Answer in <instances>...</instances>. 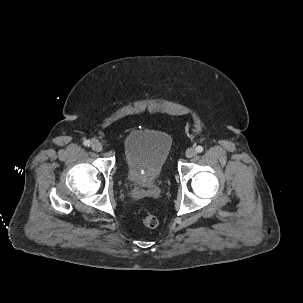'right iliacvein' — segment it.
Returning <instances> with one entry per match:
<instances>
[{
  "instance_id": "1",
  "label": "right iliac vein",
  "mask_w": 303,
  "mask_h": 303,
  "mask_svg": "<svg viewBox=\"0 0 303 303\" xmlns=\"http://www.w3.org/2000/svg\"><path fill=\"white\" fill-rule=\"evenodd\" d=\"M92 149L96 152H100L102 150V144L98 141H94L92 142V145H91Z\"/></svg>"
}]
</instances>
